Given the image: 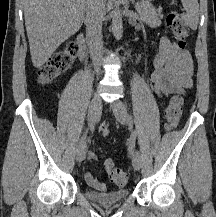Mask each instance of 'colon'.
<instances>
[{"label": "colon", "instance_id": "5ec220e1", "mask_svg": "<svg viewBox=\"0 0 216 217\" xmlns=\"http://www.w3.org/2000/svg\"><path fill=\"white\" fill-rule=\"evenodd\" d=\"M166 22L173 33L178 46L185 48L189 35V29L182 16L178 12L172 11L168 13ZM77 50V43L71 42L64 50L54 55L44 66L40 68L38 72V82L41 85L49 84L68 71ZM183 104L184 101L180 95H174L170 99L165 111L166 128L168 130L173 129L178 124L183 113ZM99 133L103 137L109 136V125L107 123H103L99 128ZM107 166L111 181L118 186L125 185L127 180L125 172L121 168L114 167L111 162H109Z\"/></svg>", "mask_w": 216, "mask_h": 217}]
</instances>
